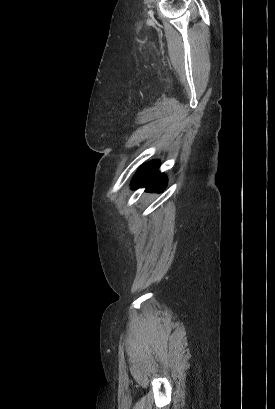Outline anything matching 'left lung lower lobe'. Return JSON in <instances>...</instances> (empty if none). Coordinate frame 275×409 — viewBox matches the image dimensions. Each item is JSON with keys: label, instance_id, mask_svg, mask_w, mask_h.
Here are the masks:
<instances>
[{"label": "left lung lower lobe", "instance_id": "obj_1", "mask_svg": "<svg viewBox=\"0 0 275 409\" xmlns=\"http://www.w3.org/2000/svg\"><path fill=\"white\" fill-rule=\"evenodd\" d=\"M160 162L153 160L144 164L136 173L132 187H147L146 191H162L166 185V177L159 173Z\"/></svg>", "mask_w": 275, "mask_h": 409}]
</instances>
